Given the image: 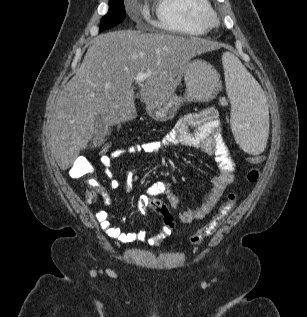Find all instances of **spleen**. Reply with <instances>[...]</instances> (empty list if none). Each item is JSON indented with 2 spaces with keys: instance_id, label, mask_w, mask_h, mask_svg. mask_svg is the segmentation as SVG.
Here are the masks:
<instances>
[{
  "instance_id": "obj_1",
  "label": "spleen",
  "mask_w": 307,
  "mask_h": 317,
  "mask_svg": "<svg viewBox=\"0 0 307 317\" xmlns=\"http://www.w3.org/2000/svg\"><path fill=\"white\" fill-rule=\"evenodd\" d=\"M228 97L232 102L231 129L236 143L249 154L263 152L268 138L269 114L263 91L232 53L222 56Z\"/></svg>"
}]
</instances>
